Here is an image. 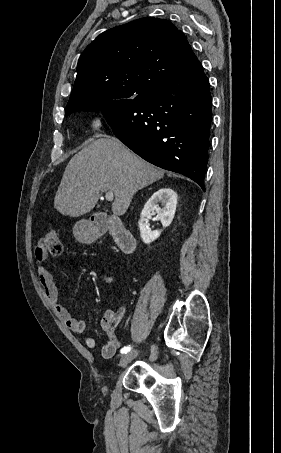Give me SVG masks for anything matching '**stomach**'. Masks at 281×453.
I'll list each match as a JSON object with an SVG mask.
<instances>
[{
	"label": "stomach",
	"mask_w": 281,
	"mask_h": 453,
	"mask_svg": "<svg viewBox=\"0 0 281 453\" xmlns=\"http://www.w3.org/2000/svg\"><path fill=\"white\" fill-rule=\"evenodd\" d=\"M73 235L80 243H91L95 237V231L87 222H76Z\"/></svg>",
	"instance_id": "obj_1"
}]
</instances>
